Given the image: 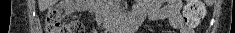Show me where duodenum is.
I'll return each instance as SVG.
<instances>
[{
    "instance_id": "410a0bca",
    "label": "duodenum",
    "mask_w": 235,
    "mask_h": 33,
    "mask_svg": "<svg viewBox=\"0 0 235 33\" xmlns=\"http://www.w3.org/2000/svg\"><path fill=\"white\" fill-rule=\"evenodd\" d=\"M86 5H90V1H84ZM142 16L139 14H132L126 17L120 18V20L116 22H110L107 25L108 30L112 33H122L123 30H128L129 32H134L140 23L142 22Z\"/></svg>"
}]
</instances>
